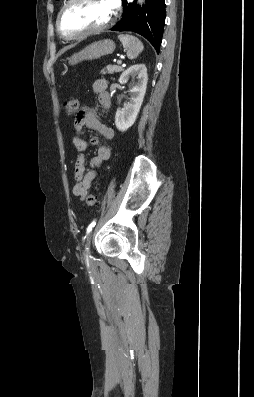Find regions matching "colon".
Masks as SVG:
<instances>
[{
  "label": "colon",
  "instance_id": "1",
  "mask_svg": "<svg viewBox=\"0 0 254 397\" xmlns=\"http://www.w3.org/2000/svg\"><path fill=\"white\" fill-rule=\"evenodd\" d=\"M64 110L66 114L71 115L75 113L80 106V99L78 97L72 98L64 102ZM86 203L88 206H95L98 203V195L95 193L88 194L86 198Z\"/></svg>",
  "mask_w": 254,
  "mask_h": 397
}]
</instances>
